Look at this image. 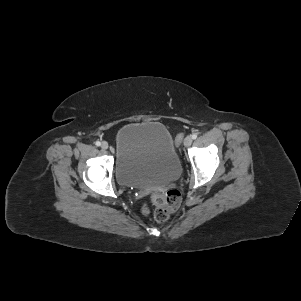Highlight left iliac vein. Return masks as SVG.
<instances>
[{"label": "left iliac vein", "instance_id": "left-iliac-vein-1", "mask_svg": "<svg viewBox=\"0 0 301 301\" xmlns=\"http://www.w3.org/2000/svg\"><path fill=\"white\" fill-rule=\"evenodd\" d=\"M193 138L189 135L184 139V146L189 147L192 144Z\"/></svg>", "mask_w": 301, "mask_h": 301}]
</instances>
